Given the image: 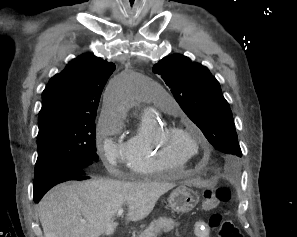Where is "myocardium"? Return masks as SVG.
Instances as JSON below:
<instances>
[{
    "label": "myocardium",
    "instance_id": "myocardium-1",
    "mask_svg": "<svg viewBox=\"0 0 297 237\" xmlns=\"http://www.w3.org/2000/svg\"><path fill=\"white\" fill-rule=\"evenodd\" d=\"M178 137L192 139L196 144V153L185 154L182 152L176 144V138ZM200 141V138L195 133L182 127H165L160 131L158 137V144L166 154L176 156L186 162L202 152V148L199 143Z\"/></svg>",
    "mask_w": 297,
    "mask_h": 237
}]
</instances>
